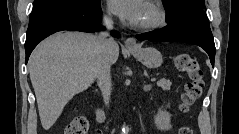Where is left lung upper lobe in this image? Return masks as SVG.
<instances>
[{"mask_svg":"<svg viewBox=\"0 0 239 134\" xmlns=\"http://www.w3.org/2000/svg\"><path fill=\"white\" fill-rule=\"evenodd\" d=\"M163 5L167 12L168 23L175 21L189 8L205 9L204 0H163Z\"/></svg>","mask_w":239,"mask_h":134,"instance_id":"5c2ea615","label":"left lung upper lobe"}]
</instances>
